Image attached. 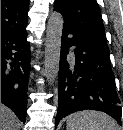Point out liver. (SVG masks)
<instances>
[{
    "mask_svg": "<svg viewBox=\"0 0 123 130\" xmlns=\"http://www.w3.org/2000/svg\"><path fill=\"white\" fill-rule=\"evenodd\" d=\"M20 122L16 115L1 103V130H19Z\"/></svg>",
    "mask_w": 123,
    "mask_h": 130,
    "instance_id": "liver-1",
    "label": "liver"
}]
</instances>
